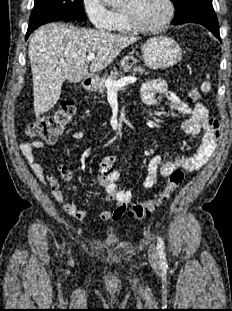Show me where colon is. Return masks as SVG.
<instances>
[{
  "label": "colon",
  "mask_w": 232,
  "mask_h": 311,
  "mask_svg": "<svg viewBox=\"0 0 232 311\" xmlns=\"http://www.w3.org/2000/svg\"><path fill=\"white\" fill-rule=\"evenodd\" d=\"M200 99V91L196 87L189 89L187 102L195 103ZM75 113V106L69 101L62 102L59 107L48 116H39L27 127V133L38 137L46 142L52 143L57 136L70 124ZM63 177H68V170L62 171ZM184 173L180 169L174 170L168 178L164 189L155 197L144 202L134 204L128 210V216L133 219H143L149 216L162 202L168 200L179 185L182 183ZM53 189H58V181L51 179Z\"/></svg>",
  "instance_id": "obj_1"
}]
</instances>
